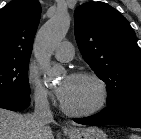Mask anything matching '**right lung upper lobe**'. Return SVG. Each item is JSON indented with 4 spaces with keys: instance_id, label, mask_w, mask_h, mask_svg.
Segmentation results:
<instances>
[{
    "instance_id": "cb5924a9",
    "label": "right lung upper lobe",
    "mask_w": 141,
    "mask_h": 139,
    "mask_svg": "<svg viewBox=\"0 0 141 139\" xmlns=\"http://www.w3.org/2000/svg\"><path fill=\"white\" fill-rule=\"evenodd\" d=\"M40 16L38 0H13L0 10V59H30Z\"/></svg>"
}]
</instances>
